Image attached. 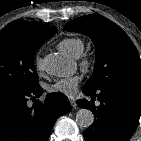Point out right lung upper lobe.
Wrapping results in <instances>:
<instances>
[{"instance_id": "obj_1", "label": "right lung upper lobe", "mask_w": 141, "mask_h": 141, "mask_svg": "<svg viewBox=\"0 0 141 141\" xmlns=\"http://www.w3.org/2000/svg\"><path fill=\"white\" fill-rule=\"evenodd\" d=\"M8 25H17V26H22V27H26L29 28L41 35H43L46 38H50L51 36H53L56 32V28L54 26H46V25H42L36 22H30V21H13Z\"/></svg>"}]
</instances>
